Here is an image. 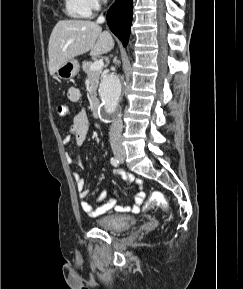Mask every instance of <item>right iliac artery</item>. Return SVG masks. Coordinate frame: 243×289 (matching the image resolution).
Masks as SVG:
<instances>
[{"label": "right iliac artery", "instance_id": "82829eb1", "mask_svg": "<svg viewBox=\"0 0 243 289\" xmlns=\"http://www.w3.org/2000/svg\"><path fill=\"white\" fill-rule=\"evenodd\" d=\"M110 162L115 167L119 165V160L117 158H115V157H112Z\"/></svg>", "mask_w": 243, "mask_h": 289}]
</instances>
